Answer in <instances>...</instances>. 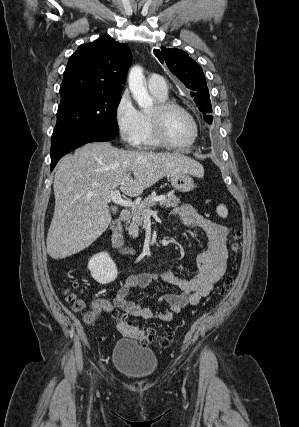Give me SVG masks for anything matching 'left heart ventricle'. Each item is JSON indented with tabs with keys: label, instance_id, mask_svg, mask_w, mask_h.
<instances>
[{
	"label": "left heart ventricle",
	"instance_id": "left-heart-ventricle-1",
	"mask_svg": "<svg viewBox=\"0 0 299 427\" xmlns=\"http://www.w3.org/2000/svg\"><path fill=\"white\" fill-rule=\"evenodd\" d=\"M164 131L172 142L186 144L191 141L194 128L186 114L179 110H171L164 117Z\"/></svg>",
	"mask_w": 299,
	"mask_h": 427
}]
</instances>
